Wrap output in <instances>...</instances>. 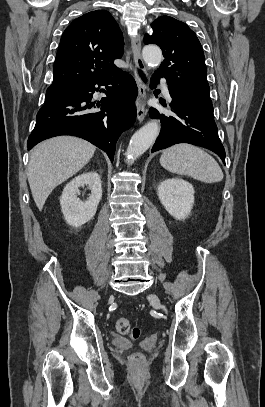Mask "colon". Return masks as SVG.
Instances as JSON below:
<instances>
[{"label": "colon", "instance_id": "colon-1", "mask_svg": "<svg viewBox=\"0 0 265 407\" xmlns=\"http://www.w3.org/2000/svg\"><path fill=\"white\" fill-rule=\"evenodd\" d=\"M116 329L122 335L128 336L131 339H138L140 337V329L130 324L129 320L125 317H120L116 321ZM143 360L141 353H134L131 356V361L135 364H140Z\"/></svg>", "mask_w": 265, "mask_h": 407}]
</instances>
